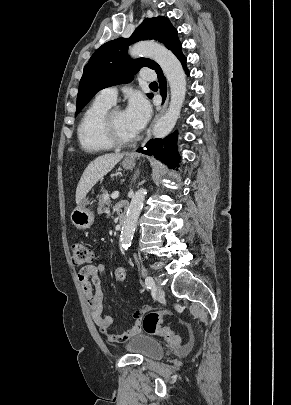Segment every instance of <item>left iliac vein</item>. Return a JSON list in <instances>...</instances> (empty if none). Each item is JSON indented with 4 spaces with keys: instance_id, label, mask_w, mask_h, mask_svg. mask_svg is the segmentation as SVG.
Wrapping results in <instances>:
<instances>
[{
    "instance_id": "left-iliac-vein-1",
    "label": "left iliac vein",
    "mask_w": 291,
    "mask_h": 405,
    "mask_svg": "<svg viewBox=\"0 0 291 405\" xmlns=\"http://www.w3.org/2000/svg\"><path fill=\"white\" fill-rule=\"evenodd\" d=\"M154 292H155L156 297H158V298H161L164 296V291L160 285H156L154 287Z\"/></svg>"
}]
</instances>
